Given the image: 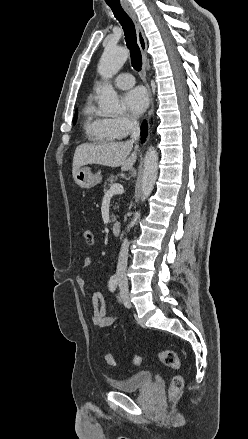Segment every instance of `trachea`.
Here are the masks:
<instances>
[{"instance_id": "1", "label": "trachea", "mask_w": 248, "mask_h": 439, "mask_svg": "<svg viewBox=\"0 0 248 439\" xmlns=\"http://www.w3.org/2000/svg\"><path fill=\"white\" fill-rule=\"evenodd\" d=\"M108 6L111 8L115 18L123 27L127 47L129 48L131 54L132 66L136 71H140L142 66V55L137 44L135 25L121 5L108 4Z\"/></svg>"}]
</instances>
